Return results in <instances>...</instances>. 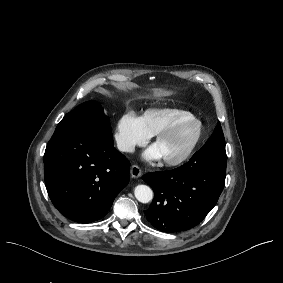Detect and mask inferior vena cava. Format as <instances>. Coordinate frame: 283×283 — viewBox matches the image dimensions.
<instances>
[{
	"mask_svg": "<svg viewBox=\"0 0 283 283\" xmlns=\"http://www.w3.org/2000/svg\"><path fill=\"white\" fill-rule=\"evenodd\" d=\"M117 147L122 152H132L134 150V146L129 142H118Z\"/></svg>",
	"mask_w": 283,
	"mask_h": 283,
	"instance_id": "1",
	"label": "inferior vena cava"
}]
</instances>
